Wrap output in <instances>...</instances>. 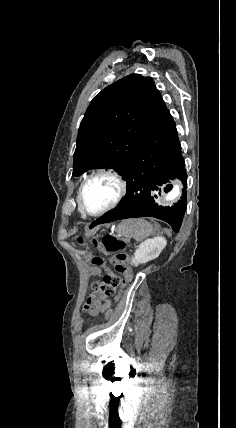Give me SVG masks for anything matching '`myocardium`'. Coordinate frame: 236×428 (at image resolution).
<instances>
[{"mask_svg": "<svg viewBox=\"0 0 236 428\" xmlns=\"http://www.w3.org/2000/svg\"><path fill=\"white\" fill-rule=\"evenodd\" d=\"M98 177H109V178L113 179L117 183L118 191H117L115 198L112 200L111 203H109L108 205H106L102 209L92 211L87 207V205L85 203L84 189L90 181H92ZM127 191H128V183L119 171H117L113 168H100V169H97V170L91 172L80 183V186L78 189V202H79L80 208L84 214H87L89 216H100V215H103V214L115 209L121 203V201L123 200V198L127 194Z\"/></svg>", "mask_w": 236, "mask_h": 428, "instance_id": "f54148a6", "label": "myocardium"}]
</instances>
